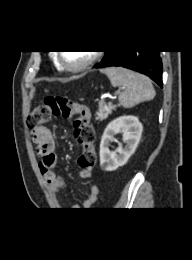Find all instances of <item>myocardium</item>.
<instances>
[{
  "instance_id": "myocardium-1",
  "label": "myocardium",
  "mask_w": 192,
  "mask_h": 260,
  "mask_svg": "<svg viewBox=\"0 0 192 260\" xmlns=\"http://www.w3.org/2000/svg\"><path fill=\"white\" fill-rule=\"evenodd\" d=\"M99 58V53L98 52H92V55L89 57V59H87L85 62L79 64V65H69L64 61L62 52H58L57 54V60L59 65L71 72H80L86 68H88L89 66H91L93 63H95L97 61V59Z\"/></svg>"
}]
</instances>
